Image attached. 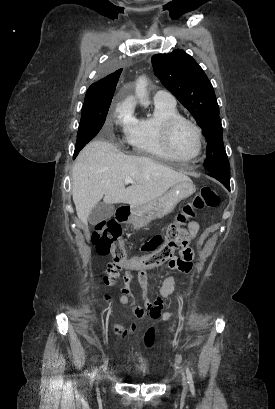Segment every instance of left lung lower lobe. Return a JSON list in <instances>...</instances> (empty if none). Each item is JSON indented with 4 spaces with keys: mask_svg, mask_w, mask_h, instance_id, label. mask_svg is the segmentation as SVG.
<instances>
[{
    "mask_svg": "<svg viewBox=\"0 0 275 409\" xmlns=\"http://www.w3.org/2000/svg\"><path fill=\"white\" fill-rule=\"evenodd\" d=\"M208 175L220 181L230 191V177L214 172H208Z\"/></svg>",
    "mask_w": 275,
    "mask_h": 409,
    "instance_id": "left-lung-lower-lobe-1",
    "label": "left lung lower lobe"
}]
</instances>
